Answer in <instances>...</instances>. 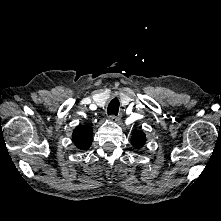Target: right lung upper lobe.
Masks as SVG:
<instances>
[{
	"label": "right lung upper lobe",
	"mask_w": 221,
	"mask_h": 221,
	"mask_svg": "<svg viewBox=\"0 0 221 221\" xmlns=\"http://www.w3.org/2000/svg\"><path fill=\"white\" fill-rule=\"evenodd\" d=\"M93 141L91 126H77L72 134V142L80 150H87Z\"/></svg>",
	"instance_id": "right-lung-upper-lobe-1"
}]
</instances>
